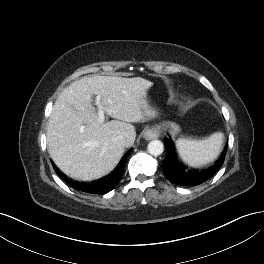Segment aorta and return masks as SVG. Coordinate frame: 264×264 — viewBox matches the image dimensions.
<instances>
[{
  "label": "aorta",
  "mask_w": 264,
  "mask_h": 264,
  "mask_svg": "<svg viewBox=\"0 0 264 264\" xmlns=\"http://www.w3.org/2000/svg\"><path fill=\"white\" fill-rule=\"evenodd\" d=\"M148 152L153 156H159L164 151V145L160 140H152L148 144Z\"/></svg>",
  "instance_id": "762f6f07"
}]
</instances>
